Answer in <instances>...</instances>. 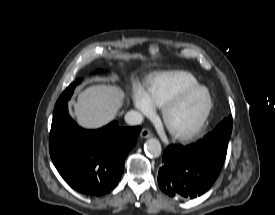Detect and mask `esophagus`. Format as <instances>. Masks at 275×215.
I'll list each match as a JSON object with an SVG mask.
<instances>
[{
	"label": "esophagus",
	"instance_id": "obj_1",
	"mask_svg": "<svg viewBox=\"0 0 275 215\" xmlns=\"http://www.w3.org/2000/svg\"><path fill=\"white\" fill-rule=\"evenodd\" d=\"M140 136L141 138H149L152 136V132L148 128H143Z\"/></svg>",
	"mask_w": 275,
	"mask_h": 215
}]
</instances>
